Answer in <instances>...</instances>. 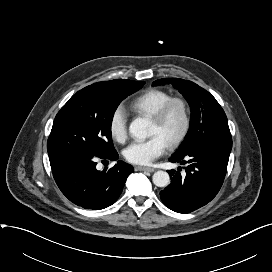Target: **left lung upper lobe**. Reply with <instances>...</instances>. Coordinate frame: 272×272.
Instances as JSON below:
<instances>
[{"instance_id":"left-lung-upper-lobe-1","label":"left lung upper lobe","mask_w":272,"mask_h":272,"mask_svg":"<svg viewBox=\"0 0 272 272\" xmlns=\"http://www.w3.org/2000/svg\"><path fill=\"white\" fill-rule=\"evenodd\" d=\"M169 83L185 97L191 107L189 131L175 154L187 152L206 142L231 139L226 114L208 91L179 78L156 80L153 85Z\"/></svg>"}]
</instances>
